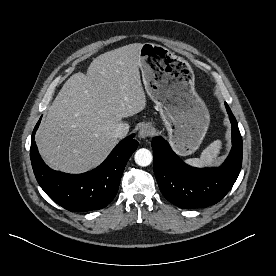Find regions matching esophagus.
Masks as SVG:
<instances>
[{
  "label": "esophagus",
  "instance_id": "obj_1",
  "mask_svg": "<svg viewBox=\"0 0 276 276\" xmlns=\"http://www.w3.org/2000/svg\"><path fill=\"white\" fill-rule=\"evenodd\" d=\"M151 134H152L151 127L148 124H146V125H143L142 127H140L138 136L140 138H146V137L150 136Z\"/></svg>",
  "mask_w": 276,
  "mask_h": 276
}]
</instances>
